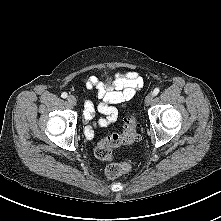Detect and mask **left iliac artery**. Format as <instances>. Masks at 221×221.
I'll return each instance as SVG.
<instances>
[{"instance_id": "left-iliac-artery-1", "label": "left iliac artery", "mask_w": 221, "mask_h": 221, "mask_svg": "<svg viewBox=\"0 0 221 221\" xmlns=\"http://www.w3.org/2000/svg\"><path fill=\"white\" fill-rule=\"evenodd\" d=\"M160 89L159 88H155L153 91V95L156 96L159 93Z\"/></svg>"}]
</instances>
